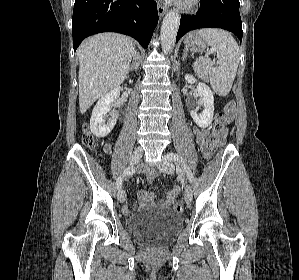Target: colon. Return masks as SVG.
Returning <instances> with one entry per match:
<instances>
[{"instance_id":"colon-1","label":"colon","mask_w":299,"mask_h":280,"mask_svg":"<svg viewBox=\"0 0 299 280\" xmlns=\"http://www.w3.org/2000/svg\"><path fill=\"white\" fill-rule=\"evenodd\" d=\"M234 107H235L234 102L230 101L227 103L223 112L217 113L213 124L212 132L208 140L201 146V152L205 159H209L212 153L214 152V150L216 149L217 137L224 130L225 125L229 120L230 114L234 110ZM82 142L84 143L85 146L89 148H94L97 145L95 137L90 133L87 126H85L84 128ZM174 210L179 214L182 213L183 212L182 203L180 202L175 203Z\"/></svg>"}]
</instances>
